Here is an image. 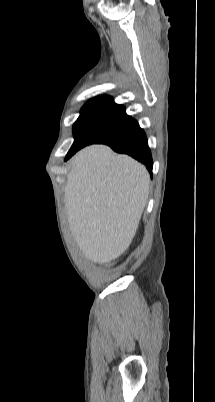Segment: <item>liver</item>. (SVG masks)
Listing matches in <instances>:
<instances>
[{"mask_svg": "<svg viewBox=\"0 0 215 402\" xmlns=\"http://www.w3.org/2000/svg\"><path fill=\"white\" fill-rule=\"evenodd\" d=\"M144 165L106 145H91L70 161L64 202L72 235L85 257L107 263L131 244L148 200Z\"/></svg>", "mask_w": 215, "mask_h": 402, "instance_id": "obj_1", "label": "liver"}]
</instances>
